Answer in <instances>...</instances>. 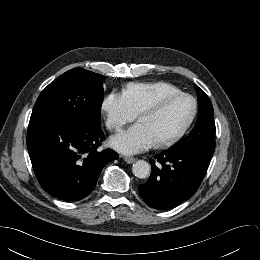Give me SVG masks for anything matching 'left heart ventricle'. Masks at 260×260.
Segmentation results:
<instances>
[{
    "label": "left heart ventricle",
    "mask_w": 260,
    "mask_h": 260,
    "mask_svg": "<svg viewBox=\"0 0 260 260\" xmlns=\"http://www.w3.org/2000/svg\"><path fill=\"white\" fill-rule=\"evenodd\" d=\"M192 101L186 97L168 100L156 113L139 120L156 142L177 133L192 112Z\"/></svg>",
    "instance_id": "1"
}]
</instances>
